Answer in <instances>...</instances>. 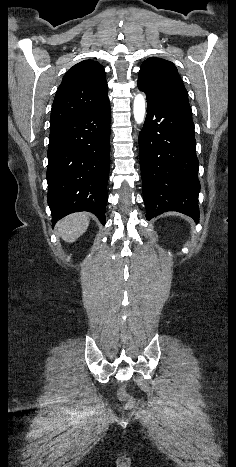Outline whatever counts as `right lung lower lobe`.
I'll list each match as a JSON object with an SVG mask.
<instances>
[{"label": "right lung lower lobe", "instance_id": "1", "mask_svg": "<svg viewBox=\"0 0 236 467\" xmlns=\"http://www.w3.org/2000/svg\"><path fill=\"white\" fill-rule=\"evenodd\" d=\"M110 102L67 122L50 126L47 202L52 224L78 211L105 224L110 166Z\"/></svg>", "mask_w": 236, "mask_h": 467}]
</instances>
